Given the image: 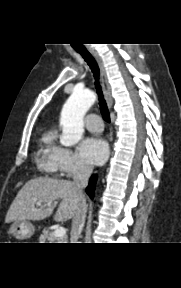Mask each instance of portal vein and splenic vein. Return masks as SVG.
<instances>
[{"mask_svg": "<svg viewBox=\"0 0 181 288\" xmlns=\"http://www.w3.org/2000/svg\"><path fill=\"white\" fill-rule=\"evenodd\" d=\"M41 202H37V206H41ZM66 234V229L64 227H59L54 231V235L56 237H64Z\"/></svg>", "mask_w": 181, "mask_h": 288, "instance_id": "obj_1", "label": "portal vein and splenic vein"}]
</instances>
